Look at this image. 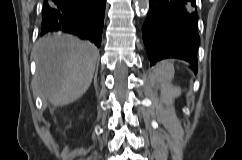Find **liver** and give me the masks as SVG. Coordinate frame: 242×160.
Masks as SVG:
<instances>
[{"instance_id":"6515ba94","label":"liver","mask_w":242,"mask_h":160,"mask_svg":"<svg viewBox=\"0 0 242 160\" xmlns=\"http://www.w3.org/2000/svg\"><path fill=\"white\" fill-rule=\"evenodd\" d=\"M99 50L71 35L39 40L34 89L54 106L79 99L89 88Z\"/></svg>"}]
</instances>
